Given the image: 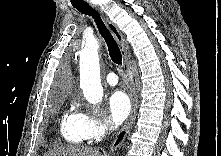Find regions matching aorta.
Here are the masks:
<instances>
[{
    "instance_id": "obj_1",
    "label": "aorta",
    "mask_w": 221,
    "mask_h": 156,
    "mask_svg": "<svg viewBox=\"0 0 221 156\" xmlns=\"http://www.w3.org/2000/svg\"><path fill=\"white\" fill-rule=\"evenodd\" d=\"M98 48V40L91 39L80 52V87L85 99L94 105L98 104L103 97Z\"/></svg>"
}]
</instances>
